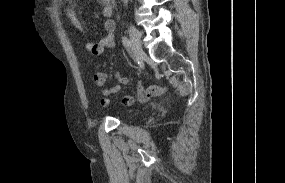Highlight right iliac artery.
<instances>
[{"label": "right iliac artery", "instance_id": "82829eb1", "mask_svg": "<svg viewBox=\"0 0 285 183\" xmlns=\"http://www.w3.org/2000/svg\"><path fill=\"white\" fill-rule=\"evenodd\" d=\"M122 43L127 49L131 47V42L127 37H122Z\"/></svg>", "mask_w": 285, "mask_h": 183}]
</instances>
